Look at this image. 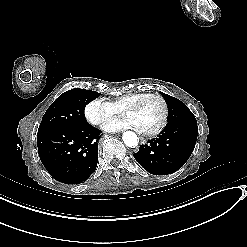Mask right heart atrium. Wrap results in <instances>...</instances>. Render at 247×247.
<instances>
[{
  "label": "right heart atrium",
  "mask_w": 247,
  "mask_h": 247,
  "mask_svg": "<svg viewBox=\"0 0 247 247\" xmlns=\"http://www.w3.org/2000/svg\"><path fill=\"white\" fill-rule=\"evenodd\" d=\"M115 113V105L101 98L91 99L84 107L85 118L96 126L105 125Z\"/></svg>",
  "instance_id": "d8ad5b80"
}]
</instances>
